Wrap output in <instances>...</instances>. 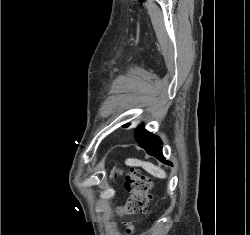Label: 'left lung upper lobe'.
Listing matches in <instances>:
<instances>
[{
  "label": "left lung upper lobe",
  "mask_w": 250,
  "mask_h": 235,
  "mask_svg": "<svg viewBox=\"0 0 250 235\" xmlns=\"http://www.w3.org/2000/svg\"><path fill=\"white\" fill-rule=\"evenodd\" d=\"M127 126H128V124L124 125V127H127Z\"/></svg>",
  "instance_id": "5c2ea615"
}]
</instances>
